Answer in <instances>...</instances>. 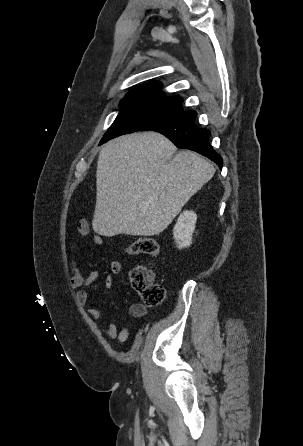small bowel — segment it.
<instances>
[{"label": "small bowel", "instance_id": "obj_1", "mask_svg": "<svg viewBox=\"0 0 303 446\" xmlns=\"http://www.w3.org/2000/svg\"><path fill=\"white\" fill-rule=\"evenodd\" d=\"M90 233V225L86 220H81L76 229V234L78 238H82L87 236ZM93 242L101 246L104 243L103 238L95 234L93 236ZM75 244H72V250L74 251ZM70 268H71V279H70V285L73 289H78V301L82 306H85L90 300V293L88 291V288L92 285L93 282H95L98 277L99 273L97 271L90 272L87 276H84L80 269L78 268L76 260L73 258L70 260ZM122 271V264L119 261H113L110 265V274L106 276L104 281L105 286V292L106 294H109L113 284H114V275H117L121 273ZM88 315L93 319H102L104 317V314L101 310L97 308H88L87 310ZM128 313L133 318H143L147 314V307L144 304L141 303H134L129 307ZM103 334L110 338V339H117L120 343H125L128 341L130 337L129 329L127 326H122L121 328H118V326L110 322L107 327L102 329Z\"/></svg>", "mask_w": 303, "mask_h": 446}]
</instances>
